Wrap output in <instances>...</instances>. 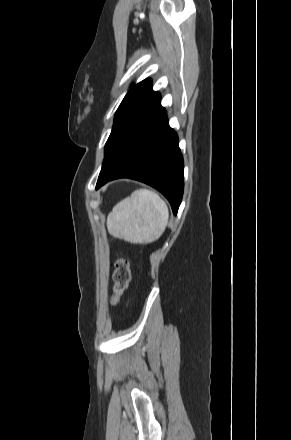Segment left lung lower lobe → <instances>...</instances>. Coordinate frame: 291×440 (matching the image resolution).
<instances>
[{
    "label": "left lung lower lobe",
    "mask_w": 291,
    "mask_h": 440,
    "mask_svg": "<svg viewBox=\"0 0 291 440\" xmlns=\"http://www.w3.org/2000/svg\"><path fill=\"white\" fill-rule=\"evenodd\" d=\"M159 96L119 135L105 155L96 189L131 178L159 190L176 215L183 195V158Z\"/></svg>",
    "instance_id": "left-lung-lower-lobe-1"
}]
</instances>
